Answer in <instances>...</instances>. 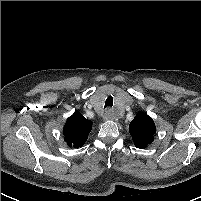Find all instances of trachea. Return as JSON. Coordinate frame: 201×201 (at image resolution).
I'll list each match as a JSON object with an SVG mask.
<instances>
[{
    "instance_id": "1",
    "label": "trachea",
    "mask_w": 201,
    "mask_h": 201,
    "mask_svg": "<svg viewBox=\"0 0 201 201\" xmlns=\"http://www.w3.org/2000/svg\"><path fill=\"white\" fill-rule=\"evenodd\" d=\"M112 105H113V97L110 95L107 97L104 107L105 108L112 107Z\"/></svg>"
}]
</instances>
